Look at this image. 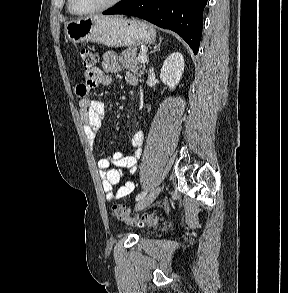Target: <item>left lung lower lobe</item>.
<instances>
[{
  "instance_id": "obj_1",
  "label": "left lung lower lobe",
  "mask_w": 288,
  "mask_h": 293,
  "mask_svg": "<svg viewBox=\"0 0 288 293\" xmlns=\"http://www.w3.org/2000/svg\"><path fill=\"white\" fill-rule=\"evenodd\" d=\"M207 0H122L103 14H125L145 19L180 35L197 54Z\"/></svg>"
}]
</instances>
